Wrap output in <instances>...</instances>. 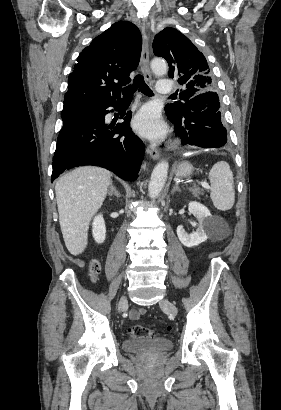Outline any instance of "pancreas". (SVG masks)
Here are the masks:
<instances>
[{
    "label": "pancreas",
    "mask_w": 281,
    "mask_h": 410,
    "mask_svg": "<svg viewBox=\"0 0 281 410\" xmlns=\"http://www.w3.org/2000/svg\"><path fill=\"white\" fill-rule=\"evenodd\" d=\"M189 191L192 192L194 197H199L201 194H203V190L197 187H192L189 188Z\"/></svg>",
    "instance_id": "cf45deb5"
}]
</instances>
